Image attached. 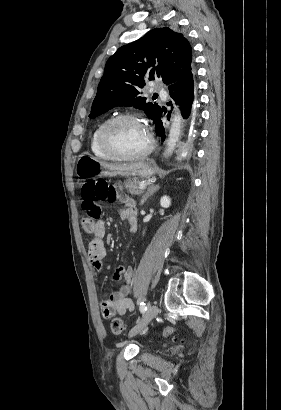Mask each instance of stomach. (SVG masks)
Instances as JSON below:
<instances>
[{"label":"stomach","instance_id":"0dacf381","mask_svg":"<svg viewBox=\"0 0 281 410\" xmlns=\"http://www.w3.org/2000/svg\"><path fill=\"white\" fill-rule=\"evenodd\" d=\"M75 173L78 177L86 179L91 176H139L150 178L155 171L152 165L146 161H138L130 164H109L91 155L82 154L78 157Z\"/></svg>","mask_w":281,"mask_h":410}]
</instances>
